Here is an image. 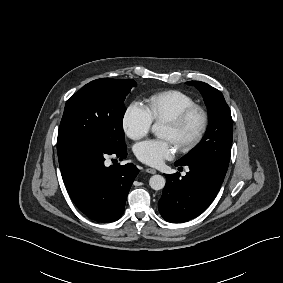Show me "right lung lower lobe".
Segmentation results:
<instances>
[{
  "label": "right lung lower lobe",
  "instance_id": "1",
  "mask_svg": "<svg viewBox=\"0 0 283 283\" xmlns=\"http://www.w3.org/2000/svg\"><path fill=\"white\" fill-rule=\"evenodd\" d=\"M108 155L122 160L127 156V147L83 143L58 155L71 199L86 216L98 222H112L121 217L130 187L139 173L132 163L107 167L104 161Z\"/></svg>",
  "mask_w": 283,
  "mask_h": 283
}]
</instances>
